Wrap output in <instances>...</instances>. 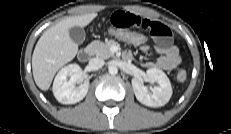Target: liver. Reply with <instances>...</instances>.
Wrapping results in <instances>:
<instances>
[{
    "instance_id": "obj_1",
    "label": "liver",
    "mask_w": 231,
    "mask_h": 134,
    "mask_svg": "<svg viewBox=\"0 0 231 134\" xmlns=\"http://www.w3.org/2000/svg\"><path fill=\"white\" fill-rule=\"evenodd\" d=\"M96 16L93 12L67 17L44 31L32 55L33 77L41 90L47 91L56 72L77 54L78 45L70 38L69 29L85 27Z\"/></svg>"
}]
</instances>
